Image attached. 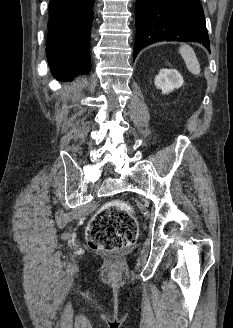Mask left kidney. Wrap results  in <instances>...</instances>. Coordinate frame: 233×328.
<instances>
[{"mask_svg": "<svg viewBox=\"0 0 233 328\" xmlns=\"http://www.w3.org/2000/svg\"><path fill=\"white\" fill-rule=\"evenodd\" d=\"M183 77L176 69H160L155 77L154 84L163 94H168L183 85Z\"/></svg>", "mask_w": 233, "mask_h": 328, "instance_id": "5707ae66", "label": "left kidney"}]
</instances>
